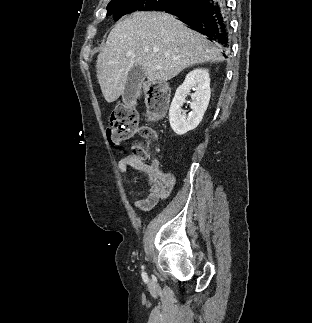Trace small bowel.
Here are the masks:
<instances>
[{
	"label": "small bowel",
	"mask_w": 312,
	"mask_h": 323,
	"mask_svg": "<svg viewBox=\"0 0 312 323\" xmlns=\"http://www.w3.org/2000/svg\"><path fill=\"white\" fill-rule=\"evenodd\" d=\"M129 168L143 172L147 175V197L133 202L134 207L140 211H149L160 200L165 199L175 186V176L161 171L159 162L153 159L150 163H144L131 155H122L118 159V169L126 173Z\"/></svg>",
	"instance_id": "1"
}]
</instances>
